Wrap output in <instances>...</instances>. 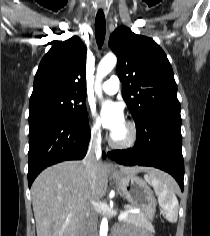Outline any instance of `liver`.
I'll list each match as a JSON object with an SVG mask.
<instances>
[{
	"label": "liver",
	"instance_id": "liver-1",
	"mask_svg": "<svg viewBox=\"0 0 210 236\" xmlns=\"http://www.w3.org/2000/svg\"><path fill=\"white\" fill-rule=\"evenodd\" d=\"M120 171L125 175L144 171L169 178L150 167H120ZM108 175L107 165L100 161L94 180L80 161H65L42 171L31 187L37 236H77L91 201L105 195Z\"/></svg>",
	"mask_w": 210,
	"mask_h": 236
}]
</instances>
